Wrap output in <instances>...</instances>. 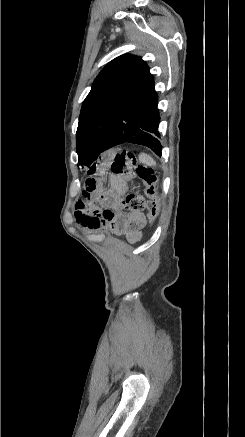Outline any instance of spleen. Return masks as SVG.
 Returning <instances> with one entry per match:
<instances>
[{
  "instance_id": "3e777b00",
  "label": "spleen",
  "mask_w": 245,
  "mask_h": 437,
  "mask_svg": "<svg viewBox=\"0 0 245 437\" xmlns=\"http://www.w3.org/2000/svg\"><path fill=\"white\" fill-rule=\"evenodd\" d=\"M139 158L142 162L146 163L149 166H153L156 164L155 160L148 154L142 153L140 154Z\"/></svg>"
}]
</instances>
